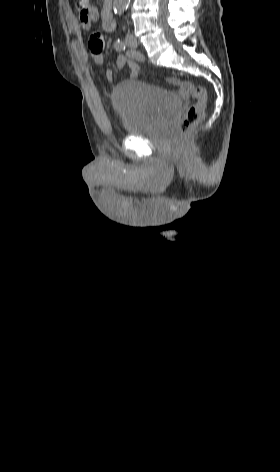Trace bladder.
<instances>
[{
    "instance_id": "1",
    "label": "bladder",
    "mask_w": 280,
    "mask_h": 472,
    "mask_svg": "<svg viewBox=\"0 0 280 472\" xmlns=\"http://www.w3.org/2000/svg\"><path fill=\"white\" fill-rule=\"evenodd\" d=\"M179 107L180 101L169 91L141 81H123L112 93L113 111L128 136L153 132Z\"/></svg>"
}]
</instances>
